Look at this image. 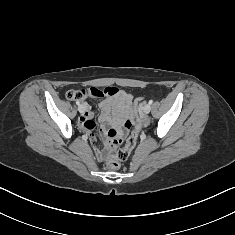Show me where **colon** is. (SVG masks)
<instances>
[{
    "label": "colon",
    "mask_w": 235,
    "mask_h": 235,
    "mask_svg": "<svg viewBox=\"0 0 235 235\" xmlns=\"http://www.w3.org/2000/svg\"><path fill=\"white\" fill-rule=\"evenodd\" d=\"M113 93L114 91L111 87H106L104 89L88 88L81 92L70 91L67 94V98L70 100H79L82 96L105 97ZM141 102H142L141 98L136 99L135 108L138 105H140ZM133 125H134L133 130L129 133V135L125 139L124 146L121 148H117V146L123 142L124 140L123 136L116 135L115 131L112 129L108 131L107 141L109 143V147L105 151L98 150V153L106 160V164L109 169L118 168L120 162L126 160L129 157V155L131 154L136 145L137 137L140 131V124L137 112H135L133 117L127 118L124 122V127L126 129L131 128Z\"/></svg>",
    "instance_id": "1"
}]
</instances>
